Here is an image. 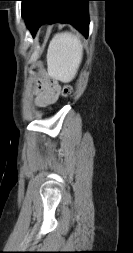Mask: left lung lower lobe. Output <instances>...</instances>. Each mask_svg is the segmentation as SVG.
<instances>
[{
    "mask_svg": "<svg viewBox=\"0 0 133 253\" xmlns=\"http://www.w3.org/2000/svg\"><path fill=\"white\" fill-rule=\"evenodd\" d=\"M88 1L93 0H22V16L32 35L44 23H70L88 36Z\"/></svg>",
    "mask_w": 133,
    "mask_h": 253,
    "instance_id": "obj_1",
    "label": "left lung lower lobe"
}]
</instances>
